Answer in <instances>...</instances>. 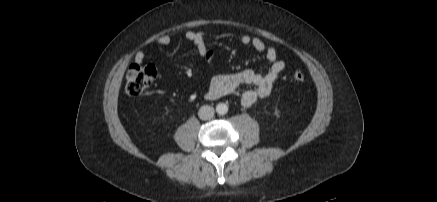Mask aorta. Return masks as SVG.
<instances>
[{
  "label": "aorta",
  "mask_w": 437,
  "mask_h": 202,
  "mask_svg": "<svg viewBox=\"0 0 437 202\" xmlns=\"http://www.w3.org/2000/svg\"><path fill=\"white\" fill-rule=\"evenodd\" d=\"M216 112L219 115H224L228 112V106L225 103H219L216 105Z\"/></svg>",
  "instance_id": "obj_1"
}]
</instances>
